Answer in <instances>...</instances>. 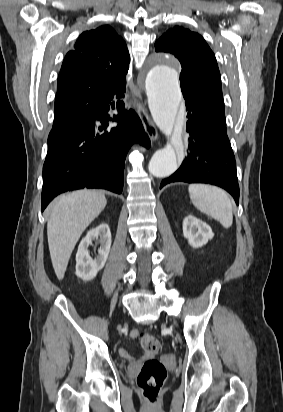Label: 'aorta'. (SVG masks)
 I'll use <instances>...</instances> for the list:
<instances>
[{"mask_svg":"<svg viewBox=\"0 0 283 412\" xmlns=\"http://www.w3.org/2000/svg\"><path fill=\"white\" fill-rule=\"evenodd\" d=\"M148 106L159 129L171 138L178 123L182 102L178 73L168 58L160 57L150 67L145 81ZM178 154L171 141L157 150L150 162L149 172L158 178L173 174L178 168Z\"/></svg>","mask_w":283,"mask_h":412,"instance_id":"aorta-1","label":"aorta"}]
</instances>
